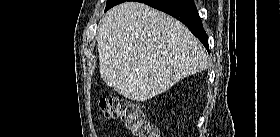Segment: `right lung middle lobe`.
<instances>
[{
	"mask_svg": "<svg viewBox=\"0 0 280 137\" xmlns=\"http://www.w3.org/2000/svg\"><path fill=\"white\" fill-rule=\"evenodd\" d=\"M123 1L124 0H107V5H106L105 11L119 3H122Z\"/></svg>",
	"mask_w": 280,
	"mask_h": 137,
	"instance_id": "obj_1",
	"label": "right lung middle lobe"
}]
</instances>
